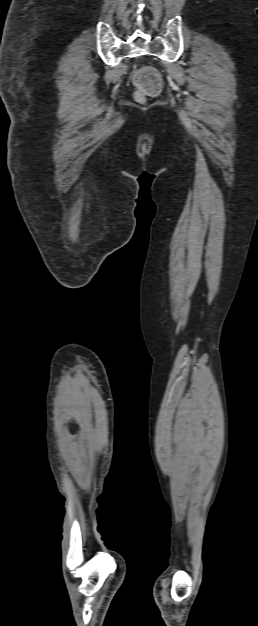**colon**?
Returning a JSON list of instances; mask_svg holds the SVG:
<instances>
[{"label": "colon", "mask_w": 258, "mask_h": 626, "mask_svg": "<svg viewBox=\"0 0 258 626\" xmlns=\"http://www.w3.org/2000/svg\"><path fill=\"white\" fill-rule=\"evenodd\" d=\"M134 83L138 88V99L157 94L162 85L159 73L153 68L138 70L134 75Z\"/></svg>", "instance_id": "colon-1"}]
</instances>
